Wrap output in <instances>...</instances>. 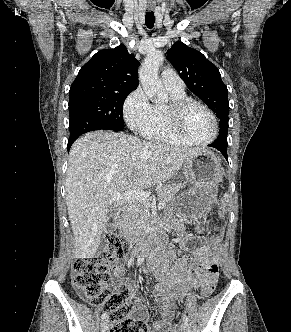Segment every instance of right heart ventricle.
<instances>
[{
	"label": "right heart ventricle",
	"instance_id": "e07e8e85",
	"mask_svg": "<svg viewBox=\"0 0 291 332\" xmlns=\"http://www.w3.org/2000/svg\"><path fill=\"white\" fill-rule=\"evenodd\" d=\"M171 102L186 99L184 92L176 93L169 91ZM169 105V104H168ZM168 105L152 106L151 124L141 131L148 140L171 145H190L188 141L180 137L172 128L168 115Z\"/></svg>",
	"mask_w": 291,
	"mask_h": 332
}]
</instances>
